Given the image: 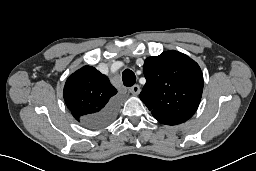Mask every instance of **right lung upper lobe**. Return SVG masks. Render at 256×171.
<instances>
[{"label":"right lung upper lobe","instance_id":"1","mask_svg":"<svg viewBox=\"0 0 256 171\" xmlns=\"http://www.w3.org/2000/svg\"><path fill=\"white\" fill-rule=\"evenodd\" d=\"M117 90L107 76L92 66H84L66 81L63 96L68 109L77 121L102 111L115 100Z\"/></svg>","mask_w":256,"mask_h":171}]
</instances>
